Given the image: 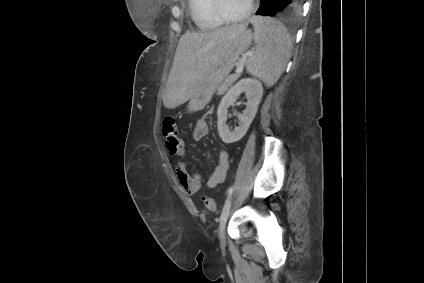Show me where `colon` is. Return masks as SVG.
<instances>
[{"instance_id": "5ec220e1", "label": "colon", "mask_w": 424, "mask_h": 283, "mask_svg": "<svg viewBox=\"0 0 424 283\" xmlns=\"http://www.w3.org/2000/svg\"><path fill=\"white\" fill-rule=\"evenodd\" d=\"M162 131L166 140V144L171 146V154L174 152L182 153L183 141L178 135V125L174 117L167 116L164 118ZM203 203L209 211L215 212L217 210V204L211 197H204Z\"/></svg>"}]
</instances>
